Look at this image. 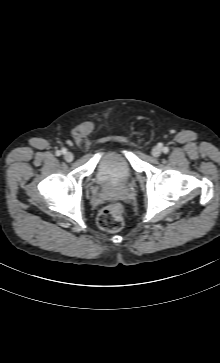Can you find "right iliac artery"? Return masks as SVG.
I'll return each mask as SVG.
<instances>
[{
    "label": "right iliac artery",
    "mask_w": 220,
    "mask_h": 363,
    "mask_svg": "<svg viewBox=\"0 0 220 363\" xmlns=\"http://www.w3.org/2000/svg\"><path fill=\"white\" fill-rule=\"evenodd\" d=\"M66 149H62L61 151H56V155L60 156L62 153H65Z\"/></svg>",
    "instance_id": "1"
}]
</instances>
